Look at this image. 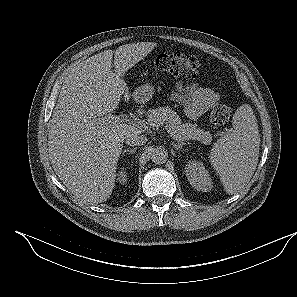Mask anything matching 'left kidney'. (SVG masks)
Wrapping results in <instances>:
<instances>
[{
	"label": "left kidney",
	"instance_id": "5707ae66",
	"mask_svg": "<svg viewBox=\"0 0 297 297\" xmlns=\"http://www.w3.org/2000/svg\"><path fill=\"white\" fill-rule=\"evenodd\" d=\"M185 173L192 187L201 192H209L213 188L209 172L199 161H189Z\"/></svg>",
	"mask_w": 297,
	"mask_h": 297
}]
</instances>
